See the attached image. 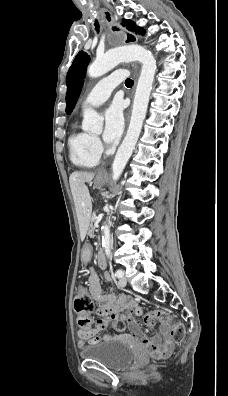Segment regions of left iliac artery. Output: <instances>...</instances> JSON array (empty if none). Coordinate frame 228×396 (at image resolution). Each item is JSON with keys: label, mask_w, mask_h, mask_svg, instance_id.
Masks as SVG:
<instances>
[{"label": "left iliac artery", "mask_w": 228, "mask_h": 396, "mask_svg": "<svg viewBox=\"0 0 228 396\" xmlns=\"http://www.w3.org/2000/svg\"><path fill=\"white\" fill-rule=\"evenodd\" d=\"M107 254H109V252H107ZM115 276L117 277V278H121L122 276H123V271L122 270H117L116 272H115Z\"/></svg>", "instance_id": "obj_1"}]
</instances>
